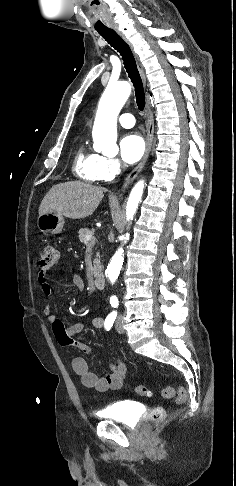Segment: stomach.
I'll return each instance as SVG.
<instances>
[{"instance_id": "0dacf381", "label": "stomach", "mask_w": 236, "mask_h": 486, "mask_svg": "<svg viewBox=\"0 0 236 486\" xmlns=\"http://www.w3.org/2000/svg\"><path fill=\"white\" fill-rule=\"evenodd\" d=\"M64 226V218L56 213H47L39 215L37 219V227L43 233L58 234L62 231Z\"/></svg>"}]
</instances>
